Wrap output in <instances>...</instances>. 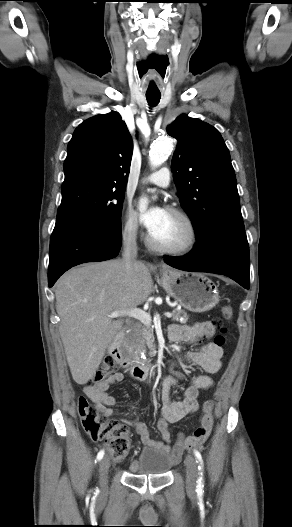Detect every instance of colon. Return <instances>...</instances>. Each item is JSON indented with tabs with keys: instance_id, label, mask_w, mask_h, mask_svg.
<instances>
[{
	"instance_id": "5ec220e1",
	"label": "colon",
	"mask_w": 292,
	"mask_h": 527,
	"mask_svg": "<svg viewBox=\"0 0 292 527\" xmlns=\"http://www.w3.org/2000/svg\"><path fill=\"white\" fill-rule=\"evenodd\" d=\"M223 318L229 321L232 317V309L225 306L222 309ZM221 335H218L214 343L218 346L224 344L222 334L226 333V327L220 320H215ZM205 339L206 336H203ZM117 371V363L112 356H108L100 364L93 377L87 381L88 386L96 385L108 380ZM80 419L84 430L94 442L104 443L112 456L116 459L124 458L130 448L131 439L127 425L116 420H106L101 418L94 406L89 404L85 398H80L78 403Z\"/></svg>"
}]
</instances>
